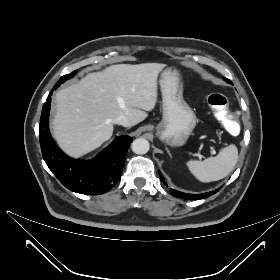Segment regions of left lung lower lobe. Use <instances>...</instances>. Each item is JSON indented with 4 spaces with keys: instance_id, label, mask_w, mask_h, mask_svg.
I'll return each instance as SVG.
<instances>
[{
    "instance_id": "obj_1",
    "label": "left lung lower lobe",
    "mask_w": 280,
    "mask_h": 280,
    "mask_svg": "<svg viewBox=\"0 0 280 280\" xmlns=\"http://www.w3.org/2000/svg\"><path fill=\"white\" fill-rule=\"evenodd\" d=\"M159 175H160L161 180L165 183L161 172H159ZM166 186H167V183H166ZM170 191H171V194H173V196H175L177 198H181V199H185V200H196V199H202V198L209 197V196L215 194L217 191H219V189L210 191L208 193H203V194H187V193H183V192H180L178 190H173V189H170Z\"/></svg>"
}]
</instances>
